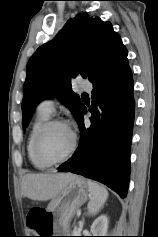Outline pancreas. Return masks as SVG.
Returning a JSON list of instances; mask_svg holds the SVG:
<instances>
[{
    "label": "pancreas",
    "instance_id": "pancreas-1",
    "mask_svg": "<svg viewBox=\"0 0 158 237\" xmlns=\"http://www.w3.org/2000/svg\"><path fill=\"white\" fill-rule=\"evenodd\" d=\"M62 226H63V227H67V228L69 227V225L67 224L66 220H64V221L62 222ZM72 233H73V234H72L73 236H76V235H78V233H80V230L74 229V230L72 231Z\"/></svg>",
    "mask_w": 158,
    "mask_h": 237
}]
</instances>
